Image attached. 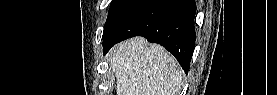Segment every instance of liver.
<instances>
[{
	"instance_id": "1",
	"label": "liver",
	"mask_w": 277,
	"mask_h": 95,
	"mask_svg": "<svg viewBox=\"0 0 277 95\" xmlns=\"http://www.w3.org/2000/svg\"><path fill=\"white\" fill-rule=\"evenodd\" d=\"M110 69L116 77L117 95H175L182 85L183 72L175 58L140 36L110 51Z\"/></svg>"
}]
</instances>
